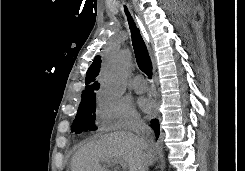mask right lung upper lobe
<instances>
[{"mask_svg": "<svg viewBox=\"0 0 245 171\" xmlns=\"http://www.w3.org/2000/svg\"><path fill=\"white\" fill-rule=\"evenodd\" d=\"M100 64H101L100 56H96L92 65L89 67L86 73V79H85L86 88L82 92V99L95 95V91L99 89L100 83H98L96 77L99 74Z\"/></svg>", "mask_w": 245, "mask_h": 171, "instance_id": "obj_1", "label": "right lung upper lobe"}]
</instances>
